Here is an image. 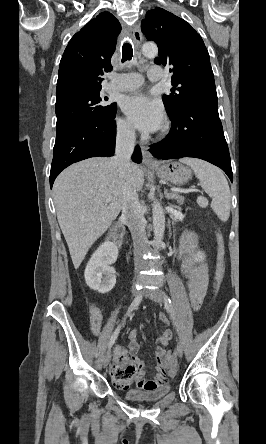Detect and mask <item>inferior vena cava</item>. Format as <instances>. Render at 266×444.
<instances>
[{"label":"inferior vena cava","mask_w":266,"mask_h":444,"mask_svg":"<svg viewBox=\"0 0 266 444\" xmlns=\"http://www.w3.org/2000/svg\"><path fill=\"white\" fill-rule=\"evenodd\" d=\"M135 129L132 126L121 127L116 135L115 157L119 172L126 179L123 192L122 218L131 232L134 245L135 268L141 269L145 262L141 259V251L147 245L145 218L141 211L138 194L131 178V155L135 147Z\"/></svg>","instance_id":"602c4592"}]
</instances>
